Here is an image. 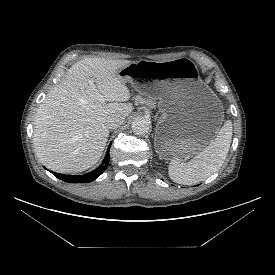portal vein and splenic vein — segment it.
I'll use <instances>...</instances> for the list:
<instances>
[{
    "mask_svg": "<svg viewBox=\"0 0 275 275\" xmlns=\"http://www.w3.org/2000/svg\"><path fill=\"white\" fill-rule=\"evenodd\" d=\"M89 85L91 90L95 93V95L98 97V100L100 101V103H104L105 102V98L102 94H100V92L98 91V89L96 88L94 81L91 79L89 81Z\"/></svg>",
    "mask_w": 275,
    "mask_h": 275,
    "instance_id": "portal-vein-and-splenic-vein-1",
    "label": "portal vein and splenic vein"
}]
</instances>
